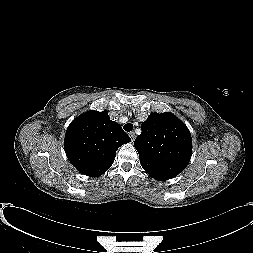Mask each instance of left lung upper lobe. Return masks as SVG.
Here are the masks:
<instances>
[{
	"mask_svg": "<svg viewBox=\"0 0 253 253\" xmlns=\"http://www.w3.org/2000/svg\"><path fill=\"white\" fill-rule=\"evenodd\" d=\"M141 130L134 146L143 169L152 178L171 179L187 166L192 154L191 134L173 114L151 113Z\"/></svg>",
	"mask_w": 253,
	"mask_h": 253,
	"instance_id": "obj_1",
	"label": "left lung upper lobe"
}]
</instances>
